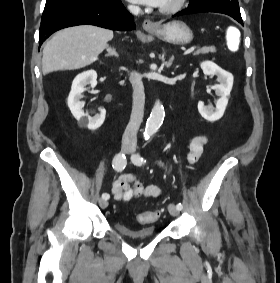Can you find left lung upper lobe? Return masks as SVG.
Listing matches in <instances>:
<instances>
[{
	"label": "left lung upper lobe",
	"mask_w": 280,
	"mask_h": 283,
	"mask_svg": "<svg viewBox=\"0 0 280 283\" xmlns=\"http://www.w3.org/2000/svg\"><path fill=\"white\" fill-rule=\"evenodd\" d=\"M189 7H209L241 18L238 0H190Z\"/></svg>",
	"instance_id": "left-lung-upper-lobe-1"
}]
</instances>
